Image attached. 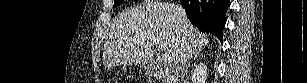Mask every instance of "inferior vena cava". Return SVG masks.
I'll list each match as a JSON object with an SVG mask.
<instances>
[{"label": "inferior vena cava", "instance_id": "inferior-vena-cava-1", "mask_svg": "<svg viewBox=\"0 0 307 83\" xmlns=\"http://www.w3.org/2000/svg\"><path fill=\"white\" fill-rule=\"evenodd\" d=\"M176 10H177V13L179 14V16L182 19L181 28H182L183 34H182V38H181L180 47H179V50H178L177 60L180 63V68H181V72H182L181 77L183 78L184 74H185L184 73L185 65H186L187 59L189 57L191 47L189 45L188 39H187L185 31H184L186 29V26H187V17H186L185 9L183 8V6L177 5Z\"/></svg>", "mask_w": 307, "mask_h": 83}]
</instances>
